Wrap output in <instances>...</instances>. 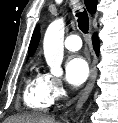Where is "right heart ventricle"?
<instances>
[{
	"mask_svg": "<svg viewBox=\"0 0 118 123\" xmlns=\"http://www.w3.org/2000/svg\"><path fill=\"white\" fill-rule=\"evenodd\" d=\"M24 103L31 109L47 111L54 101L50 98L43 75L34 73L26 82Z\"/></svg>",
	"mask_w": 118,
	"mask_h": 123,
	"instance_id": "right-heart-ventricle-1",
	"label": "right heart ventricle"
}]
</instances>
